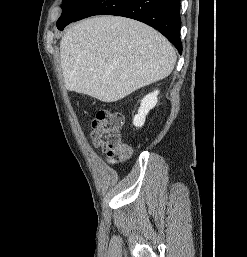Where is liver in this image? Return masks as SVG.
<instances>
[{
    "label": "liver",
    "mask_w": 247,
    "mask_h": 257,
    "mask_svg": "<svg viewBox=\"0 0 247 257\" xmlns=\"http://www.w3.org/2000/svg\"><path fill=\"white\" fill-rule=\"evenodd\" d=\"M69 91L116 102L166 78L174 69L171 43L150 26L118 16H98L70 27L60 41Z\"/></svg>",
    "instance_id": "1"
}]
</instances>
